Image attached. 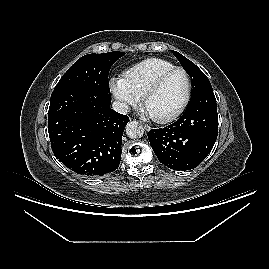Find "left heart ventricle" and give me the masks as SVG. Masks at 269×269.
<instances>
[{
    "instance_id": "left-heart-ventricle-1",
    "label": "left heart ventricle",
    "mask_w": 269,
    "mask_h": 269,
    "mask_svg": "<svg viewBox=\"0 0 269 269\" xmlns=\"http://www.w3.org/2000/svg\"><path fill=\"white\" fill-rule=\"evenodd\" d=\"M186 91V76L183 72L176 71L147 99L144 108L152 117L168 115L182 104Z\"/></svg>"
}]
</instances>
